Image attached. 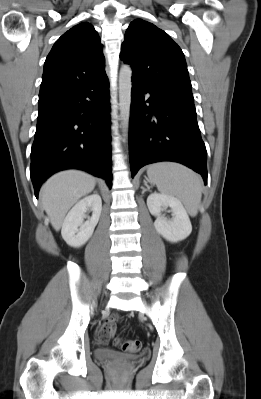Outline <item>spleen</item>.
<instances>
[{
    "mask_svg": "<svg viewBox=\"0 0 261 399\" xmlns=\"http://www.w3.org/2000/svg\"><path fill=\"white\" fill-rule=\"evenodd\" d=\"M149 179L166 195L176 196L191 216H196L202 197V179L178 163L160 162L147 169Z\"/></svg>",
    "mask_w": 261,
    "mask_h": 399,
    "instance_id": "1",
    "label": "spleen"
}]
</instances>
